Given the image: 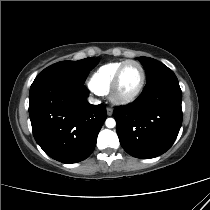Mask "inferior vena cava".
Instances as JSON below:
<instances>
[{
  "instance_id": "obj_1",
  "label": "inferior vena cava",
  "mask_w": 210,
  "mask_h": 210,
  "mask_svg": "<svg viewBox=\"0 0 210 210\" xmlns=\"http://www.w3.org/2000/svg\"><path fill=\"white\" fill-rule=\"evenodd\" d=\"M88 101H89L91 104H99V103H100L99 100L94 99L93 97H89V98H88Z\"/></svg>"
}]
</instances>
